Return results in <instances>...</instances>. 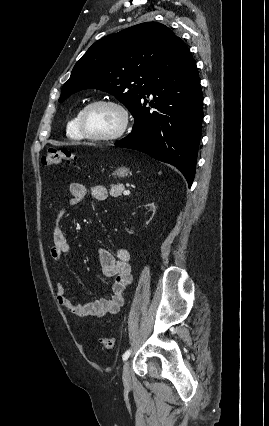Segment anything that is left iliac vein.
Returning a JSON list of instances; mask_svg holds the SVG:
<instances>
[{"label":"left iliac vein","instance_id":"4c4485c4","mask_svg":"<svg viewBox=\"0 0 269 426\" xmlns=\"http://www.w3.org/2000/svg\"><path fill=\"white\" fill-rule=\"evenodd\" d=\"M122 380H123V384L126 388H129L131 386V375H130L129 361H125V363L123 365Z\"/></svg>","mask_w":269,"mask_h":426}]
</instances>
